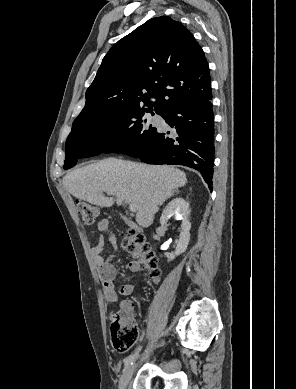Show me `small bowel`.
I'll return each instance as SVG.
<instances>
[{"label":"small bowel","mask_w":296,"mask_h":389,"mask_svg":"<svg viewBox=\"0 0 296 389\" xmlns=\"http://www.w3.org/2000/svg\"><path fill=\"white\" fill-rule=\"evenodd\" d=\"M98 230L102 233L108 234L107 238L103 235L98 237L96 244L93 246L91 252L93 261L98 268L99 276L102 281L103 293L107 301L116 303L119 311L131 312L133 303L129 300H118V293L115 286L116 268L110 262H108L102 255L106 243L113 244L114 239L109 234V226L106 220L99 221ZM128 269L132 273H138L140 271V264L137 261H131L128 263ZM135 284L126 283L120 287L119 294L122 296H129L134 292Z\"/></svg>","instance_id":"c3829d8e"}]
</instances>
